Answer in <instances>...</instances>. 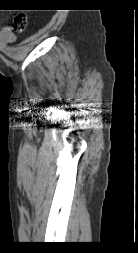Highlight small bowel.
<instances>
[{"mask_svg": "<svg viewBox=\"0 0 138 253\" xmlns=\"http://www.w3.org/2000/svg\"><path fill=\"white\" fill-rule=\"evenodd\" d=\"M15 41V35L10 27H3L0 30V44L8 45Z\"/></svg>", "mask_w": 138, "mask_h": 253, "instance_id": "c3829d8e", "label": "small bowel"}]
</instances>
